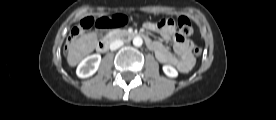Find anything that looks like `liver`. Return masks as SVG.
<instances>
[{
  "label": "liver",
  "instance_id": "obj_1",
  "mask_svg": "<svg viewBox=\"0 0 276 120\" xmlns=\"http://www.w3.org/2000/svg\"><path fill=\"white\" fill-rule=\"evenodd\" d=\"M97 44L94 32L85 34L68 46L67 62L69 66H76L86 55L91 53Z\"/></svg>",
  "mask_w": 276,
  "mask_h": 120
}]
</instances>
